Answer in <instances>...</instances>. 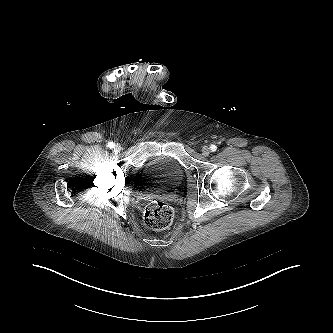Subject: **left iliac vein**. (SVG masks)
I'll use <instances>...</instances> for the list:
<instances>
[{
    "label": "left iliac vein",
    "mask_w": 333,
    "mask_h": 333,
    "mask_svg": "<svg viewBox=\"0 0 333 333\" xmlns=\"http://www.w3.org/2000/svg\"><path fill=\"white\" fill-rule=\"evenodd\" d=\"M209 154H210V148L208 146H204L202 148V155L203 156H209Z\"/></svg>",
    "instance_id": "1"
}]
</instances>
